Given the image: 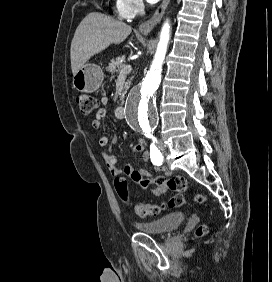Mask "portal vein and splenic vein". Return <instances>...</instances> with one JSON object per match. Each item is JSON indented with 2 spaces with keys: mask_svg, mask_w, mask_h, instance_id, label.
Returning <instances> with one entry per match:
<instances>
[{
  "mask_svg": "<svg viewBox=\"0 0 272 282\" xmlns=\"http://www.w3.org/2000/svg\"><path fill=\"white\" fill-rule=\"evenodd\" d=\"M132 70L131 65H126L119 73V75H125L127 73H129Z\"/></svg>",
  "mask_w": 272,
  "mask_h": 282,
  "instance_id": "18ae733b",
  "label": "portal vein and splenic vein"
}]
</instances>
